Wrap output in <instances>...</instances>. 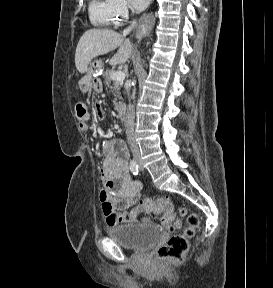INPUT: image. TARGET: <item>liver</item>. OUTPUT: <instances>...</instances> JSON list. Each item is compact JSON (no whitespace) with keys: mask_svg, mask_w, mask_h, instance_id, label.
Wrapping results in <instances>:
<instances>
[{"mask_svg":"<svg viewBox=\"0 0 273 288\" xmlns=\"http://www.w3.org/2000/svg\"><path fill=\"white\" fill-rule=\"evenodd\" d=\"M118 48L117 53L110 59V65L124 64L131 57L133 48L130 41L115 31L108 29H90L80 38L76 53L75 65L84 74L88 65L97 56L107 54Z\"/></svg>","mask_w":273,"mask_h":288,"instance_id":"6515ba94","label":"liver"}]
</instances>
